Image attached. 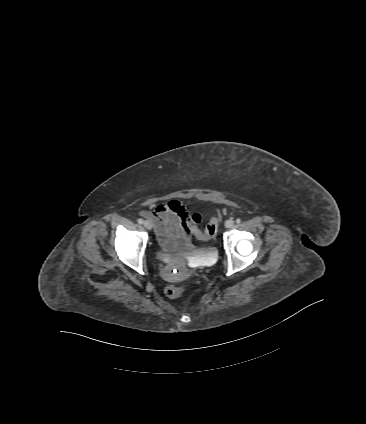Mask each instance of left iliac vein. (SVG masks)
Returning <instances> with one entry per match:
<instances>
[{"instance_id": "left-iliac-vein-1", "label": "left iliac vein", "mask_w": 366, "mask_h": 424, "mask_svg": "<svg viewBox=\"0 0 366 424\" xmlns=\"http://www.w3.org/2000/svg\"><path fill=\"white\" fill-rule=\"evenodd\" d=\"M233 225H234V221H233V220H231V219H229V220H227V221L225 222V227H226V228H232V227H233Z\"/></svg>"}]
</instances>
